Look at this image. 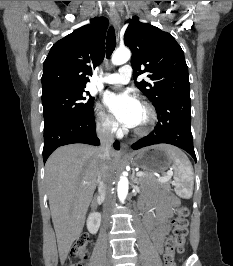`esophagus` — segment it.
I'll use <instances>...</instances> for the list:
<instances>
[{
    "label": "esophagus",
    "instance_id": "1",
    "mask_svg": "<svg viewBox=\"0 0 233 266\" xmlns=\"http://www.w3.org/2000/svg\"><path fill=\"white\" fill-rule=\"evenodd\" d=\"M110 18H111L112 24L114 25L115 29L117 30L118 27H119L120 18H119V14H118V12H117V10L115 8L111 9ZM121 152L122 153H127L128 152V146L124 142L121 143Z\"/></svg>",
    "mask_w": 233,
    "mask_h": 266
}]
</instances>
